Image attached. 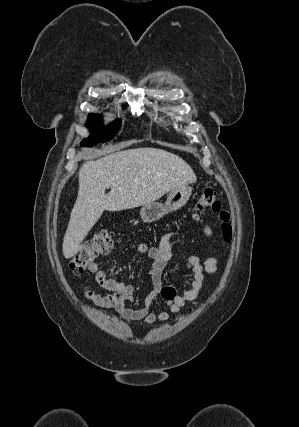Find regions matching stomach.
<instances>
[{"mask_svg":"<svg viewBox=\"0 0 299 427\" xmlns=\"http://www.w3.org/2000/svg\"><path fill=\"white\" fill-rule=\"evenodd\" d=\"M191 187L182 185L172 189L167 197L165 204L152 202L143 205L140 210V216L143 222L151 223L161 219L168 213L181 209L190 198Z\"/></svg>","mask_w":299,"mask_h":427,"instance_id":"stomach-1","label":"stomach"}]
</instances>
